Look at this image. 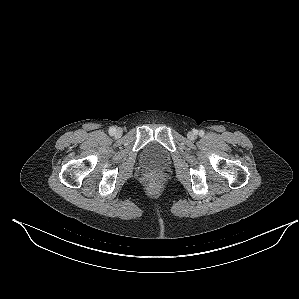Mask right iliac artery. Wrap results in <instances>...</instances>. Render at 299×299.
Returning <instances> with one entry per match:
<instances>
[{
	"label": "right iliac artery",
	"mask_w": 299,
	"mask_h": 299,
	"mask_svg": "<svg viewBox=\"0 0 299 299\" xmlns=\"http://www.w3.org/2000/svg\"><path fill=\"white\" fill-rule=\"evenodd\" d=\"M115 132H116V128H115V127H110V129H109V133H110L111 135H113Z\"/></svg>",
	"instance_id": "1"
}]
</instances>
